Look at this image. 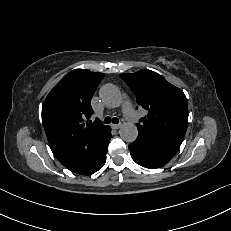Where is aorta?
<instances>
[{
    "instance_id": "obj_1",
    "label": "aorta",
    "mask_w": 231,
    "mask_h": 231,
    "mask_svg": "<svg viewBox=\"0 0 231 231\" xmlns=\"http://www.w3.org/2000/svg\"><path fill=\"white\" fill-rule=\"evenodd\" d=\"M99 96L103 103L109 107L114 108L120 105L122 96L120 90L113 84H105L100 88ZM120 137L126 142H133L138 136L137 127L130 122H125L119 129Z\"/></svg>"
}]
</instances>
